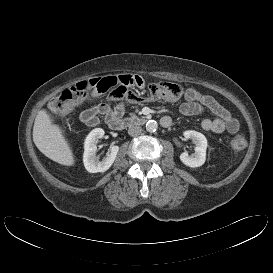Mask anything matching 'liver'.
<instances>
[{
	"label": "liver",
	"mask_w": 273,
	"mask_h": 273,
	"mask_svg": "<svg viewBox=\"0 0 273 273\" xmlns=\"http://www.w3.org/2000/svg\"><path fill=\"white\" fill-rule=\"evenodd\" d=\"M51 114L41 109L33 126V141L49 159L65 166H73L75 157L62 128L53 122Z\"/></svg>",
	"instance_id": "6515ba94"
}]
</instances>
